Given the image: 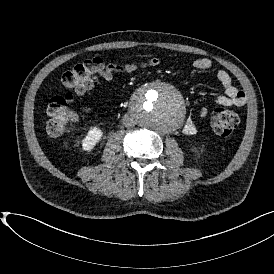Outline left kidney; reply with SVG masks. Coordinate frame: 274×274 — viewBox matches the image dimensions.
Listing matches in <instances>:
<instances>
[{"mask_svg": "<svg viewBox=\"0 0 274 274\" xmlns=\"http://www.w3.org/2000/svg\"><path fill=\"white\" fill-rule=\"evenodd\" d=\"M191 150L195 153V154H198L199 151H200V147L195 145V146H192Z\"/></svg>", "mask_w": 274, "mask_h": 274, "instance_id": "5707ae66", "label": "left kidney"}]
</instances>
